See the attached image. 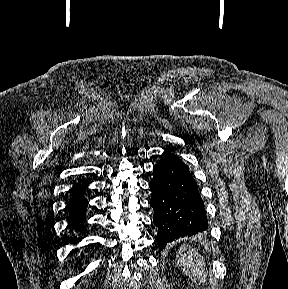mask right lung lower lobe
Returning <instances> with one entry per match:
<instances>
[{
    "label": "right lung lower lobe",
    "mask_w": 288,
    "mask_h": 289,
    "mask_svg": "<svg viewBox=\"0 0 288 289\" xmlns=\"http://www.w3.org/2000/svg\"><path fill=\"white\" fill-rule=\"evenodd\" d=\"M88 189L86 183H81L78 181L71 191V198L69 201V221L71 222V227L76 231L83 230V222L85 221V212L88 205V201L84 196V192ZM80 238H70V242H77Z\"/></svg>",
    "instance_id": "1"
}]
</instances>
